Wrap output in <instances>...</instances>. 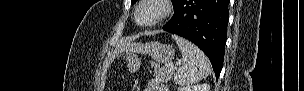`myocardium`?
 Wrapping results in <instances>:
<instances>
[{
    "mask_svg": "<svg viewBox=\"0 0 304 91\" xmlns=\"http://www.w3.org/2000/svg\"><path fill=\"white\" fill-rule=\"evenodd\" d=\"M147 3L157 4L160 7V13L154 20L141 23L138 19V12L140 8ZM172 11L173 5L171 0H140L134 11V20L136 24L141 27H153L167 19L171 15Z\"/></svg>",
    "mask_w": 304,
    "mask_h": 91,
    "instance_id": "f54148a6",
    "label": "myocardium"
}]
</instances>
